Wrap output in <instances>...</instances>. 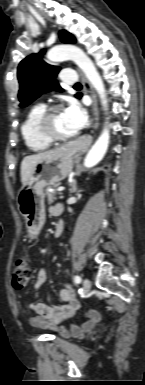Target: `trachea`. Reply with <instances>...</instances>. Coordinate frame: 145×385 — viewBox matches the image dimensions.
<instances>
[{
  "label": "trachea",
  "instance_id": "1",
  "mask_svg": "<svg viewBox=\"0 0 145 385\" xmlns=\"http://www.w3.org/2000/svg\"><path fill=\"white\" fill-rule=\"evenodd\" d=\"M74 87H81V84H80V83H76V84L74 85Z\"/></svg>",
  "mask_w": 145,
  "mask_h": 385
}]
</instances>
